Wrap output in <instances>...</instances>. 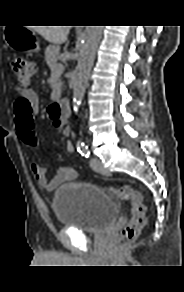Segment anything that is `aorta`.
<instances>
[{
    "mask_svg": "<svg viewBox=\"0 0 184 292\" xmlns=\"http://www.w3.org/2000/svg\"><path fill=\"white\" fill-rule=\"evenodd\" d=\"M102 31L103 26H86L73 77V105L75 111L81 105Z\"/></svg>",
    "mask_w": 184,
    "mask_h": 292,
    "instance_id": "aorta-1",
    "label": "aorta"
}]
</instances>
